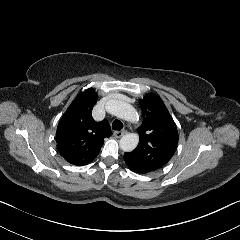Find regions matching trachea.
Here are the masks:
<instances>
[{"mask_svg":"<svg viewBox=\"0 0 240 240\" xmlns=\"http://www.w3.org/2000/svg\"><path fill=\"white\" fill-rule=\"evenodd\" d=\"M123 127V123L118 120V119H115L112 123V129L113 130H121Z\"/></svg>","mask_w":240,"mask_h":240,"instance_id":"obj_1","label":"trachea"}]
</instances>
